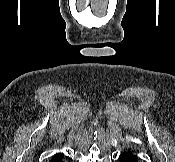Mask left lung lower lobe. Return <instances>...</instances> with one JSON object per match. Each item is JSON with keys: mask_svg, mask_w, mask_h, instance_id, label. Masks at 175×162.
Returning <instances> with one entry per match:
<instances>
[{"mask_svg": "<svg viewBox=\"0 0 175 162\" xmlns=\"http://www.w3.org/2000/svg\"><path fill=\"white\" fill-rule=\"evenodd\" d=\"M120 162H137V157L133 156L130 152H125L119 157Z\"/></svg>", "mask_w": 175, "mask_h": 162, "instance_id": "left-lung-lower-lobe-1", "label": "left lung lower lobe"}]
</instances>
